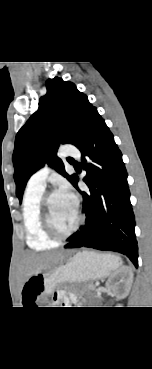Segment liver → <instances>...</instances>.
I'll return each instance as SVG.
<instances>
[{"label":"liver","instance_id":"obj_1","mask_svg":"<svg viewBox=\"0 0 152 369\" xmlns=\"http://www.w3.org/2000/svg\"><path fill=\"white\" fill-rule=\"evenodd\" d=\"M59 259L60 255L57 253H26L22 260L23 282L30 276L50 268L53 264L58 262Z\"/></svg>","mask_w":152,"mask_h":369}]
</instances>
